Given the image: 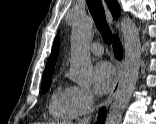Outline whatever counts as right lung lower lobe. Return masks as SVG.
<instances>
[{"label":"right lung lower lobe","instance_id":"98d812e1","mask_svg":"<svg viewBox=\"0 0 156 124\" xmlns=\"http://www.w3.org/2000/svg\"><path fill=\"white\" fill-rule=\"evenodd\" d=\"M113 49H114L115 56L118 59H121L122 49H121V45L117 36L114 37ZM103 120H104V109L102 108L98 115L97 124H103Z\"/></svg>","mask_w":156,"mask_h":124}]
</instances>
